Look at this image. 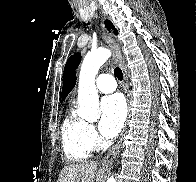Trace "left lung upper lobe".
I'll use <instances>...</instances> for the list:
<instances>
[{"mask_svg": "<svg viewBox=\"0 0 196 182\" xmlns=\"http://www.w3.org/2000/svg\"><path fill=\"white\" fill-rule=\"evenodd\" d=\"M105 25L107 30L114 29L113 24L109 21H105ZM117 30L114 29V34H117ZM81 61V55L80 53H75L73 56H70L69 59L66 62L65 68H64V83H63V95L62 100L67 97V95L70 93V91L73 89V87L76 84V73L75 69L78 67L79 63Z\"/></svg>", "mask_w": 196, "mask_h": 182, "instance_id": "1", "label": "left lung upper lobe"}]
</instances>
